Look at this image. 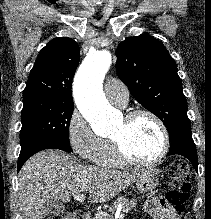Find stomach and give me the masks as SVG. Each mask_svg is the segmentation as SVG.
<instances>
[{"label": "stomach", "instance_id": "0dacf381", "mask_svg": "<svg viewBox=\"0 0 211 219\" xmlns=\"http://www.w3.org/2000/svg\"><path fill=\"white\" fill-rule=\"evenodd\" d=\"M159 184L157 173L153 170L145 169L142 176L136 181V188L139 192H149L154 190Z\"/></svg>", "mask_w": 211, "mask_h": 219}]
</instances>
